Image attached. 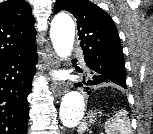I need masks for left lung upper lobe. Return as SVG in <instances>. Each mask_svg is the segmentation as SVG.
<instances>
[{
    "label": "left lung upper lobe",
    "mask_w": 153,
    "mask_h": 134,
    "mask_svg": "<svg viewBox=\"0 0 153 134\" xmlns=\"http://www.w3.org/2000/svg\"><path fill=\"white\" fill-rule=\"evenodd\" d=\"M67 10L77 19L80 46L88 68L105 83L126 86L123 51L112 18L89 0H57L55 13Z\"/></svg>",
    "instance_id": "5c2ea615"
}]
</instances>
